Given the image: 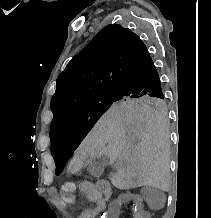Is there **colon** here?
<instances>
[{
    "label": "colon",
    "mask_w": 211,
    "mask_h": 218,
    "mask_svg": "<svg viewBox=\"0 0 211 218\" xmlns=\"http://www.w3.org/2000/svg\"><path fill=\"white\" fill-rule=\"evenodd\" d=\"M76 186L72 182H67L61 186L59 197L62 202L71 204L75 199Z\"/></svg>",
    "instance_id": "obj_1"
}]
</instances>
